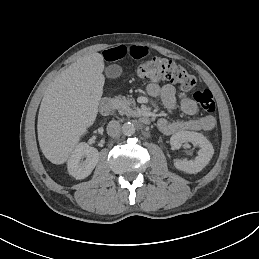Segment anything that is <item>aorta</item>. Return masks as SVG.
<instances>
[{
    "label": "aorta",
    "mask_w": 259,
    "mask_h": 259,
    "mask_svg": "<svg viewBox=\"0 0 259 259\" xmlns=\"http://www.w3.org/2000/svg\"><path fill=\"white\" fill-rule=\"evenodd\" d=\"M122 133L125 136H131L135 133V126L131 122L124 123L122 126Z\"/></svg>",
    "instance_id": "obj_1"
}]
</instances>
